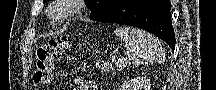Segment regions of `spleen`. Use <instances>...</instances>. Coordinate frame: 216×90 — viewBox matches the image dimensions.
Returning a JSON list of instances; mask_svg holds the SVG:
<instances>
[{
	"label": "spleen",
	"instance_id": "spleen-1",
	"mask_svg": "<svg viewBox=\"0 0 216 90\" xmlns=\"http://www.w3.org/2000/svg\"><path fill=\"white\" fill-rule=\"evenodd\" d=\"M114 34L124 42L127 56L134 66L152 64L162 54L161 42L144 30H139V28H116Z\"/></svg>",
	"mask_w": 216,
	"mask_h": 90
}]
</instances>
